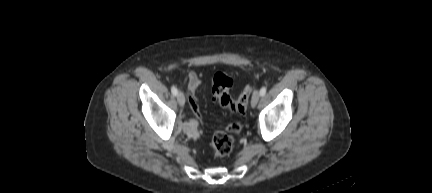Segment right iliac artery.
I'll use <instances>...</instances> for the list:
<instances>
[{
  "mask_svg": "<svg viewBox=\"0 0 432 193\" xmlns=\"http://www.w3.org/2000/svg\"><path fill=\"white\" fill-rule=\"evenodd\" d=\"M171 92H172V94L175 95V96L178 94V90H177V88H176L175 86H172V87H171Z\"/></svg>",
  "mask_w": 432,
  "mask_h": 193,
  "instance_id": "right-iliac-artery-1",
  "label": "right iliac artery"
}]
</instances>
